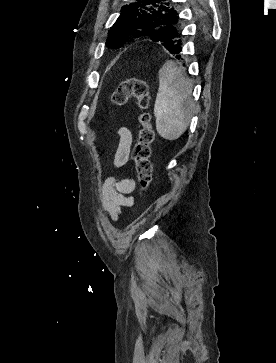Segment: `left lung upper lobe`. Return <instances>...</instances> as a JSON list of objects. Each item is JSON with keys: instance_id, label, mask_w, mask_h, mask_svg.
<instances>
[{"instance_id": "obj_1", "label": "left lung upper lobe", "mask_w": 276, "mask_h": 363, "mask_svg": "<svg viewBox=\"0 0 276 363\" xmlns=\"http://www.w3.org/2000/svg\"><path fill=\"white\" fill-rule=\"evenodd\" d=\"M122 8L109 31L106 44L120 48L128 38L148 36L165 48L171 41L182 42L178 12L167 0H137Z\"/></svg>"}]
</instances>
